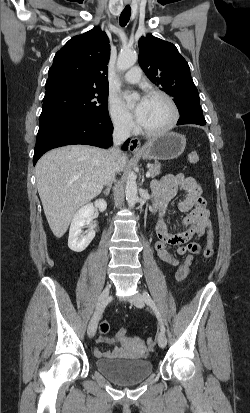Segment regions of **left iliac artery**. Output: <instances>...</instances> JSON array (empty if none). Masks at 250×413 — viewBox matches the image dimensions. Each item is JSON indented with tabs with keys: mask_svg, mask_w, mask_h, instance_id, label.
I'll list each match as a JSON object with an SVG mask.
<instances>
[{
	"mask_svg": "<svg viewBox=\"0 0 250 413\" xmlns=\"http://www.w3.org/2000/svg\"><path fill=\"white\" fill-rule=\"evenodd\" d=\"M143 297H144V300L147 303V305H149L153 309V311H154V313H155V315H156V317L159 321L161 332L165 333V326L163 324V321H162V318L160 316L159 310L157 309L154 301L152 300V298L150 297V295L146 291L143 292Z\"/></svg>",
	"mask_w": 250,
	"mask_h": 413,
	"instance_id": "obj_1",
	"label": "left iliac artery"
}]
</instances>
